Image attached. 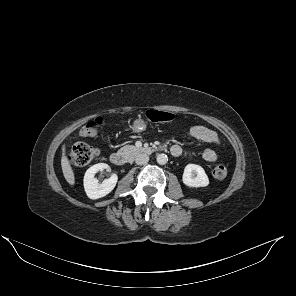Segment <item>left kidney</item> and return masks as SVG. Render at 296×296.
Returning a JSON list of instances; mask_svg holds the SVG:
<instances>
[{"label":"left kidney","mask_w":296,"mask_h":296,"mask_svg":"<svg viewBox=\"0 0 296 296\" xmlns=\"http://www.w3.org/2000/svg\"><path fill=\"white\" fill-rule=\"evenodd\" d=\"M182 180L188 187H206L209 184V179L204 169L196 164H188L185 167Z\"/></svg>","instance_id":"5707ae66"}]
</instances>
